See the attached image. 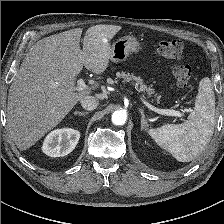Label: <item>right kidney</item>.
Here are the masks:
<instances>
[{"mask_svg":"<svg viewBox=\"0 0 224 224\" xmlns=\"http://www.w3.org/2000/svg\"><path fill=\"white\" fill-rule=\"evenodd\" d=\"M80 132L71 128L56 129L44 139L42 151L50 157L68 155L76 147Z\"/></svg>","mask_w":224,"mask_h":224,"instance_id":"obj_1","label":"right kidney"}]
</instances>
